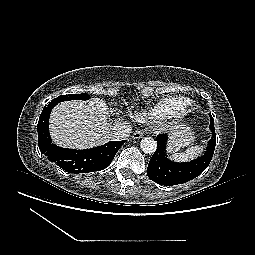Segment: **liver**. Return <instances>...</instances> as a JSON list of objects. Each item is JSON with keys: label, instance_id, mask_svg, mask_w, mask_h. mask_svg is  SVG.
I'll return each instance as SVG.
<instances>
[{"label": "liver", "instance_id": "1", "mask_svg": "<svg viewBox=\"0 0 255 255\" xmlns=\"http://www.w3.org/2000/svg\"><path fill=\"white\" fill-rule=\"evenodd\" d=\"M49 123L53 142L62 147H95L112 137L109 108L99 98L63 102L54 108Z\"/></svg>", "mask_w": 255, "mask_h": 255}]
</instances>
